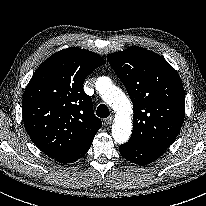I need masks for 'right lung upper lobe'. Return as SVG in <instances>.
I'll list each match as a JSON object with an SVG mask.
<instances>
[{"instance_id": "cb5924a9", "label": "right lung upper lobe", "mask_w": 206, "mask_h": 206, "mask_svg": "<svg viewBox=\"0 0 206 206\" xmlns=\"http://www.w3.org/2000/svg\"><path fill=\"white\" fill-rule=\"evenodd\" d=\"M103 64L96 53L77 47L64 49L39 66L25 89V129L33 143L55 160L92 143L102 127L83 83Z\"/></svg>"}]
</instances>
